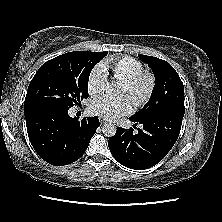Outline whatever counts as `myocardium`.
<instances>
[{
    "instance_id": "myocardium-1",
    "label": "myocardium",
    "mask_w": 222,
    "mask_h": 222,
    "mask_svg": "<svg viewBox=\"0 0 222 222\" xmlns=\"http://www.w3.org/2000/svg\"><path fill=\"white\" fill-rule=\"evenodd\" d=\"M123 83L130 100L136 107H139L150 99L155 88L156 80L152 73L143 71Z\"/></svg>"
}]
</instances>
